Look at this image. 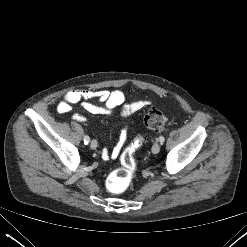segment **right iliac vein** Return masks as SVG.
Masks as SVG:
<instances>
[{
	"label": "right iliac vein",
	"mask_w": 247,
	"mask_h": 247,
	"mask_svg": "<svg viewBox=\"0 0 247 247\" xmlns=\"http://www.w3.org/2000/svg\"><path fill=\"white\" fill-rule=\"evenodd\" d=\"M97 146H98L97 141H96V140H92L91 143H90V147H91L92 149H96Z\"/></svg>",
	"instance_id": "63e3f726"
}]
</instances>
